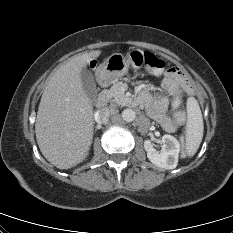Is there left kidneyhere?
Instances as JSON below:
<instances>
[{"mask_svg": "<svg viewBox=\"0 0 233 233\" xmlns=\"http://www.w3.org/2000/svg\"><path fill=\"white\" fill-rule=\"evenodd\" d=\"M161 144V150L157 151L150 140H145L144 148L148 159L157 167L174 169L177 166L180 152L179 141L175 137L166 134L162 137Z\"/></svg>", "mask_w": 233, "mask_h": 233, "instance_id": "left-kidney-1", "label": "left kidney"}]
</instances>
